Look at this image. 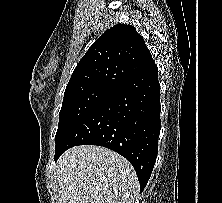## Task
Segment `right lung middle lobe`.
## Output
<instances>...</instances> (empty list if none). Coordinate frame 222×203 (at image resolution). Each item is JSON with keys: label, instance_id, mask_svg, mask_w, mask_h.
Here are the masks:
<instances>
[{"label": "right lung middle lobe", "instance_id": "obj_1", "mask_svg": "<svg viewBox=\"0 0 222 203\" xmlns=\"http://www.w3.org/2000/svg\"><path fill=\"white\" fill-rule=\"evenodd\" d=\"M112 92L113 90L100 87L65 90L55 142L78 120L107 99Z\"/></svg>", "mask_w": 222, "mask_h": 203}]
</instances>
